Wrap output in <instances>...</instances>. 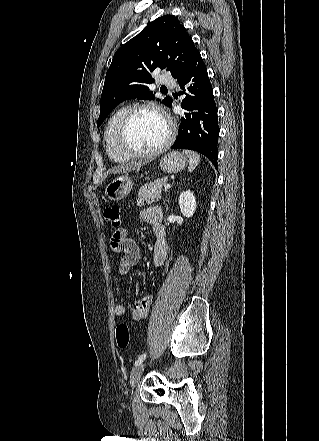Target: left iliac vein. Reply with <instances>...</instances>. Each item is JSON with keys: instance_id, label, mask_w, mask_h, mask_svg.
I'll use <instances>...</instances> for the list:
<instances>
[{"instance_id": "left-iliac-vein-1", "label": "left iliac vein", "mask_w": 319, "mask_h": 441, "mask_svg": "<svg viewBox=\"0 0 319 441\" xmlns=\"http://www.w3.org/2000/svg\"><path fill=\"white\" fill-rule=\"evenodd\" d=\"M144 366L145 365L143 363H141L139 365H136L132 369L131 375H130V384L132 387L135 386L138 383V381L140 380V377H141L143 370H144Z\"/></svg>"}]
</instances>
